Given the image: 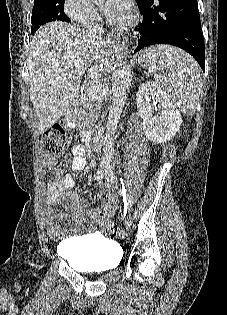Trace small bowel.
I'll return each mask as SVG.
<instances>
[{
	"instance_id": "obj_1",
	"label": "small bowel",
	"mask_w": 227,
	"mask_h": 315,
	"mask_svg": "<svg viewBox=\"0 0 227 315\" xmlns=\"http://www.w3.org/2000/svg\"><path fill=\"white\" fill-rule=\"evenodd\" d=\"M72 169L75 172L81 171L86 167L85 147L77 145L73 151ZM73 177L71 174L64 175L61 179L52 182L47 187H41L40 192L43 196L44 208L42 213V220L44 225L50 230L58 229V222L63 220L67 213H69L74 221H78L82 217H88L98 221L101 225L102 221L99 219L98 211L90 208L88 202L76 194H69L67 191L73 186ZM69 198V204L66 212H60L53 207L62 197ZM109 214L111 217L116 210V198L109 194L108 202Z\"/></svg>"
}]
</instances>
